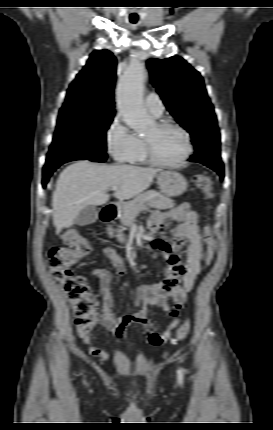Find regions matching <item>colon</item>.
Wrapping results in <instances>:
<instances>
[{
  "instance_id": "5ec220e1",
  "label": "colon",
  "mask_w": 273,
  "mask_h": 430,
  "mask_svg": "<svg viewBox=\"0 0 273 430\" xmlns=\"http://www.w3.org/2000/svg\"><path fill=\"white\" fill-rule=\"evenodd\" d=\"M195 186L207 199H211L212 184L208 175L199 174L193 178ZM209 212V206L207 207ZM206 242L205 264L209 265L217 250V243L209 225L203 231ZM63 244L53 247L48 253V267L53 278L61 285L75 314V326L79 336L89 342L98 323L99 306L91 293L87 280L72 271V266L91 251L89 242L75 230H67L62 235ZM184 327L176 332L172 339L177 344L188 333L190 323L186 320Z\"/></svg>"
}]
</instances>
